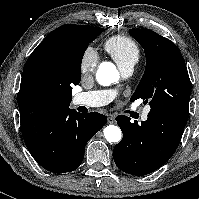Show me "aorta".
Instances as JSON below:
<instances>
[{
  "label": "aorta",
  "mask_w": 199,
  "mask_h": 199,
  "mask_svg": "<svg viewBox=\"0 0 199 199\" xmlns=\"http://www.w3.org/2000/svg\"><path fill=\"white\" fill-rule=\"evenodd\" d=\"M119 78L116 68L110 63H104L97 71V81L104 86L110 85ZM104 136L110 143H117L122 138V132L118 126L109 125L104 129Z\"/></svg>",
  "instance_id": "obj_1"
}]
</instances>
